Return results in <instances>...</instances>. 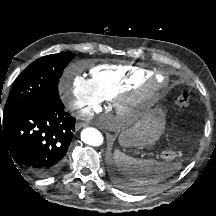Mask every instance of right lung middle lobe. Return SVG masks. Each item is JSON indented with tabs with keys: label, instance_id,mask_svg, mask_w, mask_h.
Listing matches in <instances>:
<instances>
[{
	"label": "right lung middle lobe",
	"instance_id": "obj_1",
	"mask_svg": "<svg viewBox=\"0 0 216 216\" xmlns=\"http://www.w3.org/2000/svg\"><path fill=\"white\" fill-rule=\"evenodd\" d=\"M74 56L71 52H63L41 57L31 63L17 78L3 117L39 102L58 99L59 79Z\"/></svg>",
	"mask_w": 216,
	"mask_h": 216
}]
</instances>
